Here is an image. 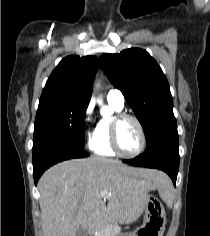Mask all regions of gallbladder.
Here are the masks:
<instances>
[{"mask_svg":"<svg viewBox=\"0 0 210 236\" xmlns=\"http://www.w3.org/2000/svg\"><path fill=\"white\" fill-rule=\"evenodd\" d=\"M76 236H88V233L84 228L79 227Z\"/></svg>","mask_w":210,"mask_h":236,"instance_id":"bac80fb5","label":"gallbladder"}]
</instances>
